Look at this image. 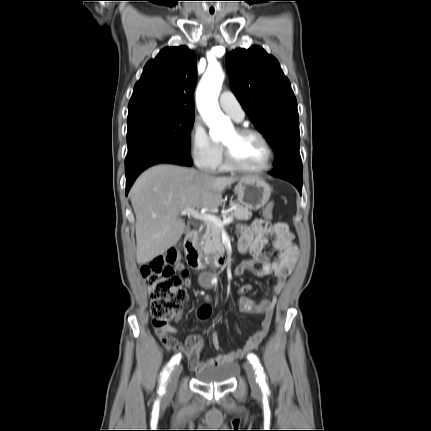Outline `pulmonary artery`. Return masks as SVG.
I'll return each instance as SVG.
<instances>
[{"instance_id": "1", "label": "pulmonary artery", "mask_w": 431, "mask_h": 431, "mask_svg": "<svg viewBox=\"0 0 431 431\" xmlns=\"http://www.w3.org/2000/svg\"><path fill=\"white\" fill-rule=\"evenodd\" d=\"M219 104L223 111L229 114L235 121H242L245 113L236 96L230 91H224L219 97Z\"/></svg>"}]
</instances>
